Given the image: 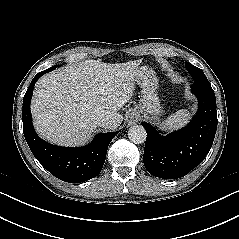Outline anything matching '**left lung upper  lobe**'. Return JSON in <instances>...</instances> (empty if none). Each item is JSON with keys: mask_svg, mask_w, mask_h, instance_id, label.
Segmentation results:
<instances>
[{"mask_svg": "<svg viewBox=\"0 0 239 239\" xmlns=\"http://www.w3.org/2000/svg\"><path fill=\"white\" fill-rule=\"evenodd\" d=\"M186 69L189 72V74L194 78L195 83L198 84H210L207 80V77L205 76L204 72L195 67L194 65L190 64L189 62L185 63Z\"/></svg>", "mask_w": 239, "mask_h": 239, "instance_id": "obj_1", "label": "left lung upper lobe"}]
</instances>
